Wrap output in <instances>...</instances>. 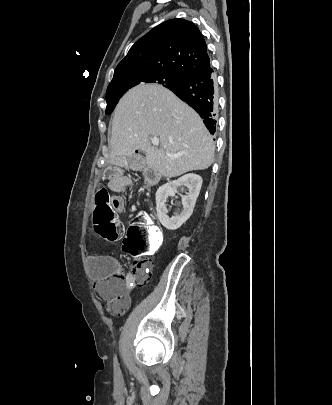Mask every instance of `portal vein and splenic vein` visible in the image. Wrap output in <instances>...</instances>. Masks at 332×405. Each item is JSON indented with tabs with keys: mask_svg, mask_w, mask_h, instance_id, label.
<instances>
[{
	"mask_svg": "<svg viewBox=\"0 0 332 405\" xmlns=\"http://www.w3.org/2000/svg\"><path fill=\"white\" fill-rule=\"evenodd\" d=\"M151 142H152V144H153L154 146H159V139H158V138H156V137L151 138ZM166 154H167L168 156H172V155L169 154L168 152H166Z\"/></svg>",
	"mask_w": 332,
	"mask_h": 405,
	"instance_id": "1",
	"label": "portal vein and splenic vein"
}]
</instances>
